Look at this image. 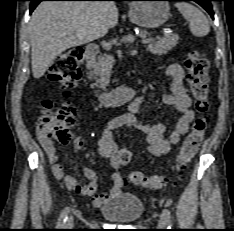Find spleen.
<instances>
[{
	"instance_id": "3e777b00",
	"label": "spleen",
	"mask_w": 234,
	"mask_h": 231,
	"mask_svg": "<svg viewBox=\"0 0 234 231\" xmlns=\"http://www.w3.org/2000/svg\"><path fill=\"white\" fill-rule=\"evenodd\" d=\"M175 6L189 22L190 31L193 35L203 37L209 33L208 19L198 8L187 2H177Z\"/></svg>"
}]
</instances>
